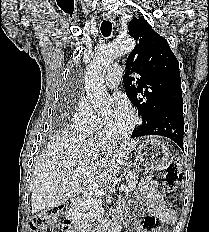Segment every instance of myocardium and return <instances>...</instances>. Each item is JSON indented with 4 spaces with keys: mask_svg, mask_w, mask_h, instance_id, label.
<instances>
[{
    "mask_svg": "<svg viewBox=\"0 0 209 232\" xmlns=\"http://www.w3.org/2000/svg\"><path fill=\"white\" fill-rule=\"evenodd\" d=\"M128 114L130 116L131 122L129 124V126L123 130V131H112L109 127H108V123L105 120L103 123V129L106 135H108L109 137H113V138H123V137H127L129 136L134 129L137 127L138 123H139V117L138 114L133 111L132 109L128 110Z\"/></svg>",
    "mask_w": 209,
    "mask_h": 232,
    "instance_id": "1",
    "label": "myocardium"
}]
</instances>
